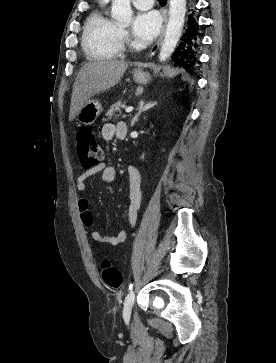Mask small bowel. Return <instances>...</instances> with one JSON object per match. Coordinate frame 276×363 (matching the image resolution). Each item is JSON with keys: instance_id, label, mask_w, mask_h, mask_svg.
<instances>
[{"instance_id": "c3829d8e", "label": "small bowel", "mask_w": 276, "mask_h": 363, "mask_svg": "<svg viewBox=\"0 0 276 363\" xmlns=\"http://www.w3.org/2000/svg\"><path fill=\"white\" fill-rule=\"evenodd\" d=\"M126 125L123 122L106 123L102 127L101 135L105 141H110L114 137L120 138L126 135ZM100 173L101 180L105 183H112L116 179V170L113 166L101 163L93 168H89L81 173L76 179V188L81 193L87 192L86 180L94 174ZM129 176V201L127 204V216L130 226L134 228L140 215L142 205V193L140 189L141 175L137 168L130 166L128 168ZM82 206L86 207L88 204L87 199H81ZM90 215H87L86 223L90 224ZM89 234L91 238L103 245H120L127 239V233L120 230L115 235H107L96 229H90Z\"/></svg>"}]
</instances>
